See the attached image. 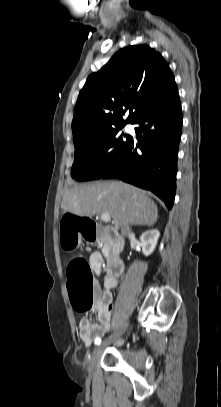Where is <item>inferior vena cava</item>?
<instances>
[{
  "mask_svg": "<svg viewBox=\"0 0 221 407\" xmlns=\"http://www.w3.org/2000/svg\"><path fill=\"white\" fill-rule=\"evenodd\" d=\"M130 233H131V229H130L129 224H124V225L121 227V234H122L123 236H128V235H130Z\"/></svg>",
  "mask_w": 221,
  "mask_h": 407,
  "instance_id": "inferior-vena-cava-1",
  "label": "inferior vena cava"
}]
</instances>
